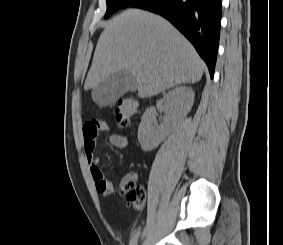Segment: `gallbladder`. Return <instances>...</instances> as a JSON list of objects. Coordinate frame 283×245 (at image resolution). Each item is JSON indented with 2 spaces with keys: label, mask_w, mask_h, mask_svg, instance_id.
Masks as SVG:
<instances>
[{
  "label": "gallbladder",
  "mask_w": 283,
  "mask_h": 245,
  "mask_svg": "<svg viewBox=\"0 0 283 245\" xmlns=\"http://www.w3.org/2000/svg\"><path fill=\"white\" fill-rule=\"evenodd\" d=\"M137 88L135 77L128 70L117 71L101 81L92 91L93 101L100 106L116 102L128 91Z\"/></svg>",
  "instance_id": "1"
}]
</instances>
